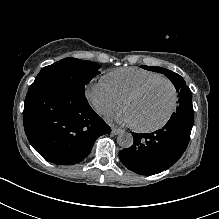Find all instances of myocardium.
<instances>
[{
    "mask_svg": "<svg viewBox=\"0 0 219 219\" xmlns=\"http://www.w3.org/2000/svg\"><path fill=\"white\" fill-rule=\"evenodd\" d=\"M159 82L168 83L170 85L171 89H172V101H171L170 107H169L165 117L163 118V120L160 123H158L156 125H153V126H149V127H143V126L135 125V129L137 131L152 132V131H156V130L161 129L170 120V118H171V116H172V114L175 110L176 103H177V89H176L174 83L171 80H169L168 78H164V77L150 80V81L144 83L143 85H141L140 87H138L137 89H135L134 91H132L131 93H129L123 101V108L126 109V105L129 101H131L132 99L138 97L143 92H145L148 88H150L151 86H153V85H155Z\"/></svg>",
    "mask_w": 219,
    "mask_h": 219,
    "instance_id": "obj_1",
    "label": "myocardium"
}]
</instances>
